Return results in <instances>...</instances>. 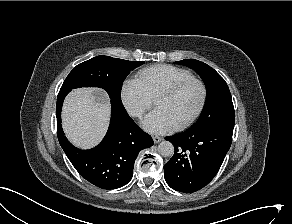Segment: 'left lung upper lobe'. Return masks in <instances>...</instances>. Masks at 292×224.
<instances>
[{"instance_id":"left-lung-upper-lobe-1","label":"left lung upper lobe","mask_w":292,"mask_h":224,"mask_svg":"<svg viewBox=\"0 0 292 224\" xmlns=\"http://www.w3.org/2000/svg\"><path fill=\"white\" fill-rule=\"evenodd\" d=\"M195 70L204 81L207 89L206 104L196 124L191 129H200L207 124L228 117H235L231 94L225 80L209 65L185 59L176 62Z\"/></svg>"}]
</instances>
